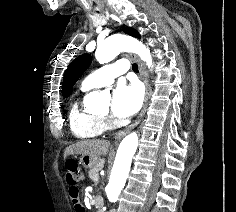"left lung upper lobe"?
<instances>
[{"instance_id": "left-lung-upper-lobe-1", "label": "left lung upper lobe", "mask_w": 236, "mask_h": 212, "mask_svg": "<svg viewBox=\"0 0 236 212\" xmlns=\"http://www.w3.org/2000/svg\"><path fill=\"white\" fill-rule=\"evenodd\" d=\"M123 31L131 36L140 38L139 33L133 28L126 27ZM91 62V56L89 54H83L74 59V61L69 65L63 77L62 94L64 97L69 96L71 88L89 67Z\"/></svg>"}]
</instances>
